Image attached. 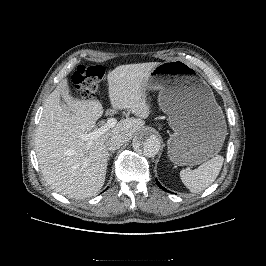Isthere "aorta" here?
<instances>
[{"label":"aorta","mask_w":266,"mask_h":266,"mask_svg":"<svg viewBox=\"0 0 266 266\" xmlns=\"http://www.w3.org/2000/svg\"><path fill=\"white\" fill-rule=\"evenodd\" d=\"M161 147L160 140L157 135L149 130L140 133L134 142V148L140 149L144 156L154 157L158 154Z\"/></svg>","instance_id":"aorta-1"}]
</instances>
